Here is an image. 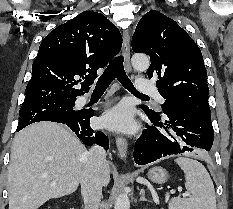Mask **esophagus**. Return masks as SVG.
<instances>
[{
    "instance_id": "obj_1",
    "label": "esophagus",
    "mask_w": 233,
    "mask_h": 209,
    "mask_svg": "<svg viewBox=\"0 0 233 209\" xmlns=\"http://www.w3.org/2000/svg\"><path fill=\"white\" fill-rule=\"evenodd\" d=\"M122 54L124 57L125 68L128 72L131 71L130 65V37L128 32L123 35ZM116 146L121 159H125L127 155L128 144L124 137L116 138Z\"/></svg>"
}]
</instances>
